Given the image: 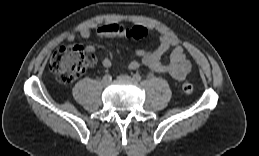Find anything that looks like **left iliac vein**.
I'll use <instances>...</instances> for the list:
<instances>
[{
  "instance_id": "1",
  "label": "left iliac vein",
  "mask_w": 259,
  "mask_h": 156,
  "mask_svg": "<svg viewBox=\"0 0 259 156\" xmlns=\"http://www.w3.org/2000/svg\"><path fill=\"white\" fill-rule=\"evenodd\" d=\"M118 79H119V80H123V81H128V82L134 81V79L131 78V77L128 76V75H120V76L118 77Z\"/></svg>"
}]
</instances>
